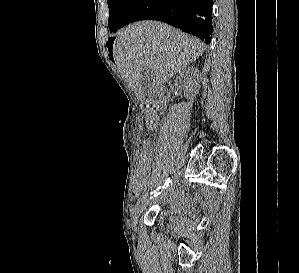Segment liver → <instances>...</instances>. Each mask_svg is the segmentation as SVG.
Instances as JSON below:
<instances>
[{
    "mask_svg": "<svg viewBox=\"0 0 299 273\" xmlns=\"http://www.w3.org/2000/svg\"><path fill=\"white\" fill-rule=\"evenodd\" d=\"M204 50L205 44L199 39L169 25L140 21L117 33L113 56L137 98L143 99L141 76L145 68L153 72L156 94L166 81L198 59Z\"/></svg>",
    "mask_w": 299,
    "mask_h": 273,
    "instance_id": "liver-1",
    "label": "liver"
}]
</instances>
